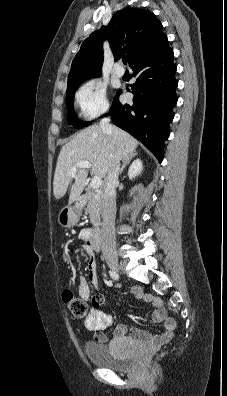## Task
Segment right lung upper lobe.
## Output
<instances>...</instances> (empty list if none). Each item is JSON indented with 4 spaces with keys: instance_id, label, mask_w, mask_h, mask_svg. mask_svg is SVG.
I'll use <instances>...</instances> for the list:
<instances>
[{
    "instance_id": "cb5924a9",
    "label": "right lung upper lobe",
    "mask_w": 227,
    "mask_h": 396,
    "mask_svg": "<svg viewBox=\"0 0 227 396\" xmlns=\"http://www.w3.org/2000/svg\"><path fill=\"white\" fill-rule=\"evenodd\" d=\"M162 28L154 13L148 10L126 8L117 11L107 27H101L83 41L72 62L67 90L101 74L105 39H108L115 59L125 52L131 65L146 50L168 41Z\"/></svg>"
}]
</instances>
